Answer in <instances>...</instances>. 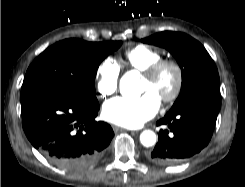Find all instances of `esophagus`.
<instances>
[{
    "label": "esophagus",
    "mask_w": 245,
    "mask_h": 187,
    "mask_svg": "<svg viewBox=\"0 0 245 187\" xmlns=\"http://www.w3.org/2000/svg\"><path fill=\"white\" fill-rule=\"evenodd\" d=\"M113 130H114L115 132H118V131H125L126 129L121 128V127H118V126H113Z\"/></svg>",
    "instance_id": "1"
}]
</instances>
